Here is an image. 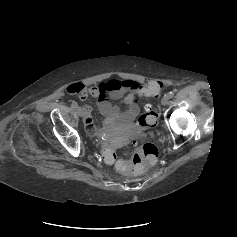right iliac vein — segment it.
Wrapping results in <instances>:
<instances>
[{
  "mask_svg": "<svg viewBox=\"0 0 237 237\" xmlns=\"http://www.w3.org/2000/svg\"><path fill=\"white\" fill-rule=\"evenodd\" d=\"M76 113H77L80 117H82V116L84 115V111H83V109H82L81 107H77Z\"/></svg>",
  "mask_w": 237,
  "mask_h": 237,
  "instance_id": "right-iliac-vein-1",
  "label": "right iliac vein"
}]
</instances>
